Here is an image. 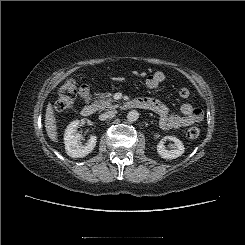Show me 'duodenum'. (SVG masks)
<instances>
[{
    "instance_id": "obj_1",
    "label": "duodenum",
    "mask_w": 245,
    "mask_h": 245,
    "mask_svg": "<svg viewBox=\"0 0 245 245\" xmlns=\"http://www.w3.org/2000/svg\"><path fill=\"white\" fill-rule=\"evenodd\" d=\"M145 106L143 105L142 102L138 100H132V101H127L124 102L121 106L123 110H128V109H133V108H142ZM96 112V106L93 104H87L81 109V115L83 117H90Z\"/></svg>"
}]
</instances>
